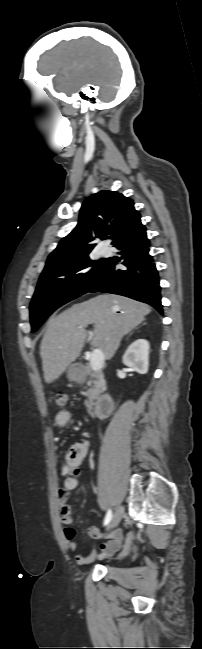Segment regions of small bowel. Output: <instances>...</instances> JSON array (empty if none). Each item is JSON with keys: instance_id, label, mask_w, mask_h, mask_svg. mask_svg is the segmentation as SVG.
<instances>
[{"instance_id": "c3829d8e", "label": "small bowel", "mask_w": 202, "mask_h": 649, "mask_svg": "<svg viewBox=\"0 0 202 649\" xmlns=\"http://www.w3.org/2000/svg\"><path fill=\"white\" fill-rule=\"evenodd\" d=\"M71 418L72 413L69 410H61L55 416V424L59 427H64L70 422ZM84 436L87 438L88 434L85 433ZM89 446L90 444L88 439H85L82 442L73 444L69 448L62 468V475L64 478L63 486L59 489L57 494L61 521L66 525L63 529V536L67 541V547L70 550H76L77 543L74 541L76 532L74 528L70 526L73 522V515L72 508L68 504V499L71 492L78 486L77 477L80 474L81 464L88 454ZM87 534L92 539L106 538L107 541L100 545V553H97L93 548L78 553L76 555V562L80 565L89 564L96 560H103L116 553L121 547L123 534L120 529L102 533L97 527L89 525L87 527ZM128 551L129 547H126L121 553V556L127 554Z\"/></svg>"}]
</instances>
